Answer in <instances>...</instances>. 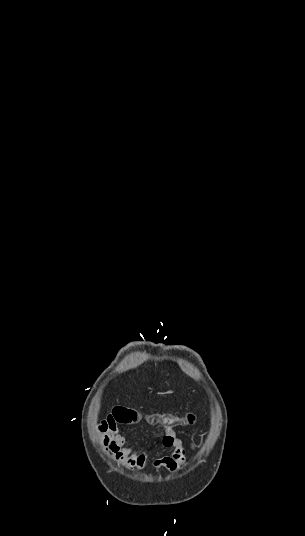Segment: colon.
Returning a JSON list of instances; mask_svg holds the SVG:
<instances>
[{
  "label": "colon",
  "mask_w": 305,
  "mask_h": 536,
  "mask_svg": "<svg viewBox=\"0 0 305 536\" xmlns=\"http://www.w3.org/2000/svg\"><path fill=\"white\" fill-rule=\"evenodd\" d=\"M114 415L117 416V424L132 425L138 422L140 412L133 408L123 407L118 408L117 411H114ZM159 420L161 423H164L167 426H193L195 423V415L192 412H188L182 417L171 414H164L159 418Z\"/></svg>",
  "instance_id": "5ec220e1"
}]
</instances>
